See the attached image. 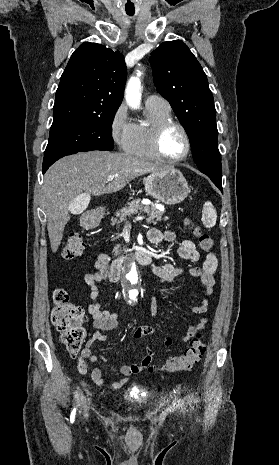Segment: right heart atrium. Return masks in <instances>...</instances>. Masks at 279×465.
<instances>
[{
	"mask_svg": "<svg viewBox=\"0 0 279 465\" xmlns=\"http://www.w3.org/2000/svg\"><path fill=\"white\" fill-rule=\"evenodd\" d=\"M109 133L116 146L125 151L132 138L133 123L128 117L124 104L119 105L114 110L109 122Z\"/></svg>",
	"mask_w": 279,
	"mask_h": 465,
	"instance_id": "right-heart-atrium-1",
	"label": "right heart atrium"
}]
</instances>
